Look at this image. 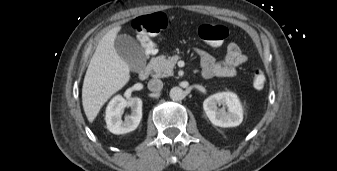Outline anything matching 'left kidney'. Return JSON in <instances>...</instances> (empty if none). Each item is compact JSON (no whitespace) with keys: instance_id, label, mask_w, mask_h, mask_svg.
<instances>
[{"instance_id":"left-kidney-1","label":"left kidney","mask_w":337,"mask_h":171,"mask_svg":"<svg viewBox=\"0 0 337 171\" xmlns=\"http://www.w3.org/2000/svg\"><path fill=\"white\" fill-rule=\"evenodd\" d=\"M222 105V108H218ZM203 109L212 122L219 127H235L243 120V108L233 92H220L209 96L203 102Z\"/></svg>"}]
</instances>
